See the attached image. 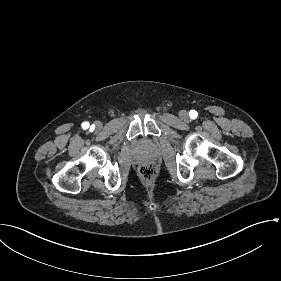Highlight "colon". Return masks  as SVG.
Here are the masks:
<instances>
[{
	"label": "colon",
	"mask_w": 281,
	"mask_h": 281,
	"mask_svg": "<svg viewBox=\"0 0 281 281\" xmlns=\"http://www.w3.org/2000/svg\"><path fill=\"white\" fill-rule=\"evenodd\" d=\"M141 173L145 179H151L154 176L153 167L150 165L142 166Z\"/></svg>",
	"instance_id": "colon-1"
}]
</instances>
